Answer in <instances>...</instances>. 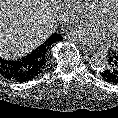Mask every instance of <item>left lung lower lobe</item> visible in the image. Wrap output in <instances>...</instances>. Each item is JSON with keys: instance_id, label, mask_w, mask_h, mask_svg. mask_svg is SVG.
<instances>
[{"instance_id": "1", "label": "left lung lower lobe", "mask_w": 118, "mask_h": 118, "mask_svg": "<svg viewBox=\"0 0 118 118\" xmlns=\"http://www.w3.org/2000/svg\"><path fill=\"white\" fill-rule=\"evenodd\" d=\"M100 74L104 81L118 84V54L108 58V65Z\"/></svg>"}]
</instances>
